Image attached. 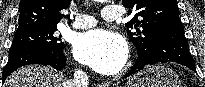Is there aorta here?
Segmentation results:
<instances>
[{
    "instance_id": "1",
    "label": "aorta",
    "mask_w": 205,
    "mask_h": 87,
    "mask_svg": "<svg viewBox=\"0 0 205 87\" xmlns=\"http://www.w3.org/2000/svg\"><path fill=\"white\" fill-rule=\"evenodd\" d=\"M95 1H97V2H103V0H95Z\"/></svg>"
}]
</instances>
